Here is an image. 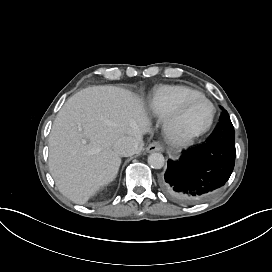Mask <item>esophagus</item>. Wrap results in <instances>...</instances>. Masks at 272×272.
Masks as SVG:
<instances>
[{"label": "esophagus", "mask_w": 272, "mask_h": 272, "mask_svg": "<svg viewBox=\"0 0 272 272\" xmlns=\"http://www.w3.org/2000/svg\"><path fill=\"white\" fill-rule=\"evenodd\" d=\"M146 151L148 153H151V152H163L164 147L159 141H154V142H152V143H150L148 145Z\"/></svg>", "instance_id": "obj_1"}]
</instances>
